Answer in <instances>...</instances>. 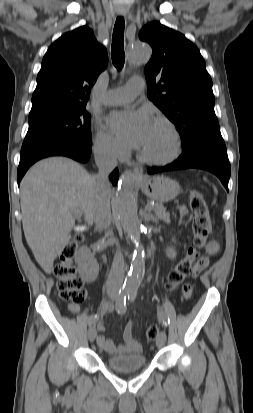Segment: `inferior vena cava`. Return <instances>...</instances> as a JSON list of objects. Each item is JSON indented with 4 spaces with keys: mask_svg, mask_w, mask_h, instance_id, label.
<instances>
[{
    "mask_svg": "<svg viewBox=\"0 0 253 413\" xmlns=\"http://www.w3.org/2000/svg\"><path fill=\"white\" fill-rule=\"evenodd\" d=\"M95 163L98 167V174L94 177V185L96 192L95 208H94V222L96 228L104 229L110 226L111 210H110V196H109V180L108 175L117 166V156L115 152L109 148L104 147L95 152ZM125 272V263L123 256L116 253L108 279L106 283L107 292H117L123 283Z\"/></svg>",
    "mask_w": 253,
    "mask_h": 413,
    "instance_id": "1",
    "label": "inferior vena cava"
}]
</instances>
